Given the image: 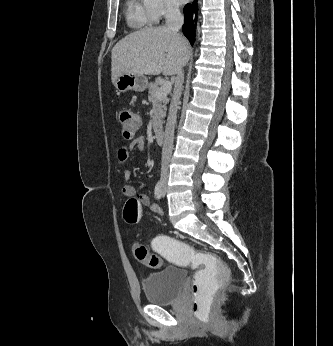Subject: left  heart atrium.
<instances>
[{
    "label": "left heart atrium",
    "instance_id": "39dd6f15",
    "mask_svg": "<svg viewBox=\"0 0 333 346\" xmlns=\"http://www.w3.org/2000/svg\"><path fill=\"white\" fill-rule=\"evenodd\" d=\"M176 3L178 4H183L185 3L187 0H174Z\"/></svg>",
    "mask_w": 333,
    "mask_h": 346
}]
</instances>
